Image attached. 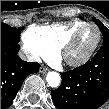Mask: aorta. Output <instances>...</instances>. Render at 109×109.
I'll return each mask as SVG.
<instances>
[{
    "label": "aorta",
    "instance_id": "1",
    "mask_svg": "<svg viewBox=\"0 0 109 109\" xmlns=\"http://www.w3.org/2000/svg\"><path fill=\"white\" fill-rule=\"evenodd\" d=\"M46 81L50 87L56 88L61 83V77L59 73L51 71L47 73Z\"/></svg>",
    "mask_w": 109,
    "mask_h": 109
}]
</instances>
